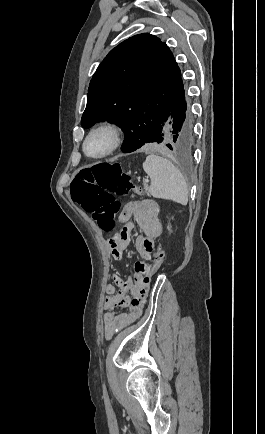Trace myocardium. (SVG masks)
<instances>
[{
	"label": "myocardium",
	"instance_id": "myocardium-1",
	"mask_svg": "<svg viewBox=\"0 0 265 434\" xmlns=\"http://www.w3.org/2000/svg\"><path fill=\"white\" fill-rule=\"evenodd\" d=\"M96 136H104L107 138L108 144L104 151L91 155L87 152L89 141ZM122 130L120 126L111 121L102 122L93 127L84 137L81 143V152L84 157L91 161H101L112 155L121 145Z\"/></svg>",
	"mask_w": 265,
	"mask_h": 434
}]
</instances>
